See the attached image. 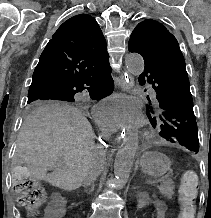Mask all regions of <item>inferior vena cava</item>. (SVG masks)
Returning <instances> with one entry per match:
<instances>
[{"label":"inferior vena cava","instance_id":"obj_1","mask_svg":"<svg viewBox=\"0 0 211 218\" xmlns=\"http://www.w3.org/2000/svg\"><path fill=\"white\" fill-rule=\"evenodd\" d=\"M101 158L102 156H104V154H102V152H99ZM101 160H98L97 162V168H95V170H91L90 174H88V176H86V178H84L83 180V184L84 186H91L93 180H96L97 176H99L100 172H101Z\"/></svg>","mask_w":211,"mask_h":218}]
</instances>
